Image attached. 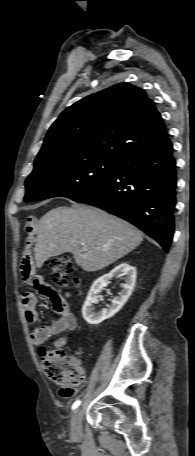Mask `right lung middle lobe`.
Masks as SVG:
<instances>
[{
  "mask_svg": "<svg viewBox=\"0 0 195 456\" xmlns=\"http://www.w3.org/2000/svg\"><path fill=\"white\" fill-rule=\"evenodd\" d=\"M118 167L119 162L99 157L61 158L35 165L25 182V201L77 198L110 178Z\"/></svg>",
  "mask_w": 195,
  "mask_h": 456,
  "instance_id": "obj_1",
  "label": "right lung middle lobe"
}]
</instances>
